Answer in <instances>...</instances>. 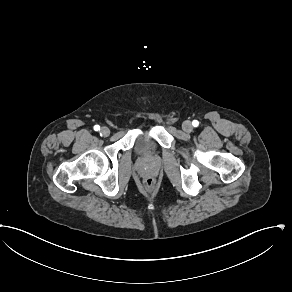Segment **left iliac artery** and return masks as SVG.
Listing matches in <instances>:
<instances>
[{
	"instance_id": "left-iliac-artery-1",
	"label": "left iliac artery",
	"mask_w": 292,
	"mask_h": 292,
	"mask_svg": "<svg viewBox=\"0 0 292 292\" xmlns=\"http://www.w3.org/2000/svg\"><path fill=\"white\" fill-rule=\"evenodd\" d=\"M192 125L194 127H197L199 125V122L197 120H193Z\"/></svg>"
}]
</instances>
